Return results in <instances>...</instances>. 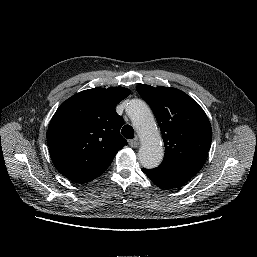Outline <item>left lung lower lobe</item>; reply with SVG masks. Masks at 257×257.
I'll use <instances>...</instances> for the list:
<instances>
[{"label": "left lung lower lobe", "mask_w": 257, "mask_h": 257, "mask_svg": "<svg viewBox=\"0 0 257 257\" xmlns=\"http://www.w3.org/2000/svg\"><path fill=\"white\" fill-rule=\"evenodd\" d=\"M142 171L154 184L162 189L177 188L192 178L186 174L170 171L160 167H156L154 169H142Z\"/></svg>", "instance_id": "left-lung-lower-lobe-1"}]
</instances>
